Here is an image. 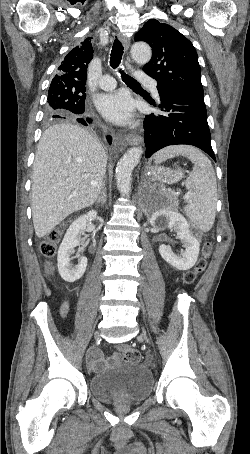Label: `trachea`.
<instances>
[{"instance_id": "1", "label": "trachea", "mask_w": 250, "mask_h": 454, "mask_svg": "<svg viewBox=\"0 0 250 454\" xmlns=\"http://www.w3.org/2000/svg\"><path fill=\"white\" fill-rule=\"evenodd\" d=\"M122 55H123V45L122 43L116 38L114 43H113V46H112V50H111V54H110V66L113 68V69H116L119 67L120 63H121V59H122ZM120 73H121V77H122V80L129 86H136V87H140V84L134 80L133 78H131L129 75H127L126 73H124V71H122L121 69L119 70Z\"/></svg>"}]
</instances>
